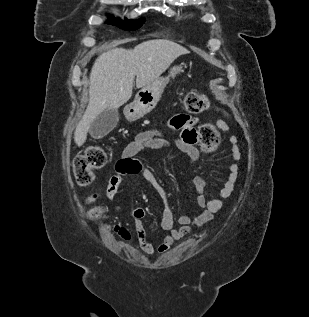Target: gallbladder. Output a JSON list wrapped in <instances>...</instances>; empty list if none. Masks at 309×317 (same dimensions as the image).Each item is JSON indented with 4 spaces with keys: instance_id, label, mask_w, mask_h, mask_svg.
<instances>
[{
    "instance_id": "gallbladder-1",
    "label": "gallbladder",
    "mask_w": 309,
    "mask_h": 317,
    "mask_svg": "<svg viewBox=\"0 0 309 317\" xmlns=\"http://www.w3.org/2000/svg\"><path fill=\"white\" fill-rule=\"evenodd\" d=\"M118 121L117 109H105L93 120L89 133L92 138L101 139L116 127Z\"/></svg>"
}]
</instances>
